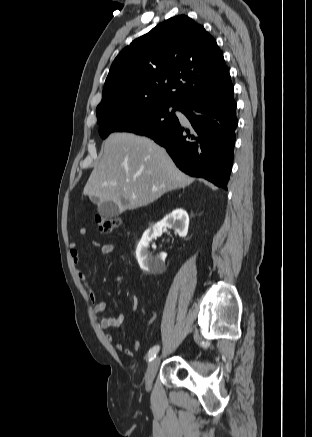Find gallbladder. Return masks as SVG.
<instances>
[{
	"instance_id": "obj_1",
	"label": "gallbladder",
	"mask_w": 312,
	"mask_h": 437,
	"mask_svg": "<svg viewBox=\"0 0 312 437\" xmlns=\"http://www.w3.org/2000/svg\"><path fill=\"white\" fill-rule=\"evenodd\" d=\"M91 201L98 204V213L102 217L114 218L119 216L122 212L120 205L114 201L100 202L97 197H91Z\"/></svg>"
}]
</instances>
